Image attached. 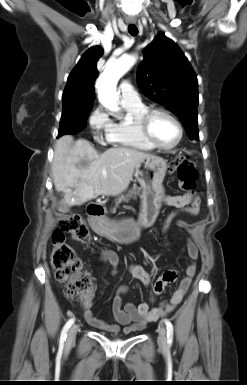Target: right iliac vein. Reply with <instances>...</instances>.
Returning a JSON list of instances; mask_svg holds the SVG:
<instances>
[{
	"instance_id": "right-iliac-vein-1",
	"label": "right iliac vein",
	"mask_w": 247,
	"mask_h": 385,
	"mask_svg": "<svg viewBox=\"0 0 247 385\" xmlns=\"http://www.w3.org/2000/svg\"><path fill=\"white\" fill-rule=\"evenodd\" d=\"M77 331H78V325H73L69 332H68V337H67V341L68 342H73L75 340V337H76V334H77Z\"/></svg>"
}]
</instances>
